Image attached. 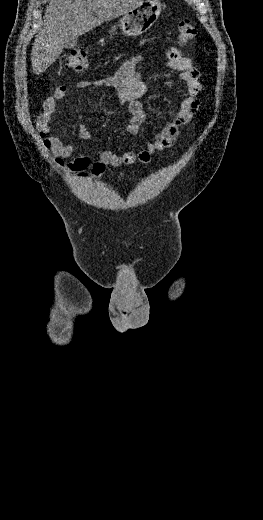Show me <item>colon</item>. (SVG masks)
<instances>
[{
    "label": "colon",
    "mask_w": 263,
    "mask_h": 520,
    "mask_svg": "<svg viewBox=\"0 0 263 520\" xmlns=\"http://www.w3.org/2000/svg\"><path fill=\"white\" fill-rule=\"evenodd\" d=\"M196 35V27L190 18L182 19L178 24L177 40L180 45H186ZM87 49L79 47L71 51L65 60V68L67 70L80 73L86 70Z\"/></svg>",
    "instance_id": "colon-1"
}]
</instances>
